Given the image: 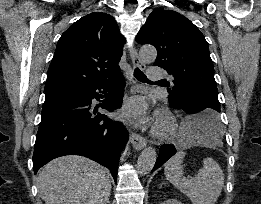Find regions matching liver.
<instances>
[{"mask_svg": "<svg viewBox=\"0 0 261 204\" xmlns=\"http://www.w3.org/2000/svg\"><path fill=\"white\" fill-rule=\"evenodd\" d=\"M45 204H107L111 193L107 169L82 156L53 159L38 175Z\"/></svg>", "mask_w": 261, "mask_h": 204, "instance_id": "1", "label": "liver"}]
</instances>
